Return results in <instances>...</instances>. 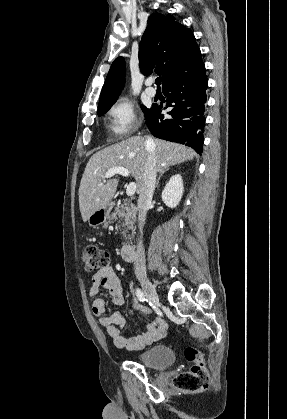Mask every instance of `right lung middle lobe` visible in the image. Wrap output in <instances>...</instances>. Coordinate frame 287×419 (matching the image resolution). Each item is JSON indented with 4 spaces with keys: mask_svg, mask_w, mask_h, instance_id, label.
I'll list each match as a JSON object with an SVG mask.
<instances>
[{
    "mask_svg": "<svg viewBox=\"0 0 287 419\" xmlns=\"http://www.w3.org/2000/svg\"><path fill=\"white\" fill-rule=\"evenodd\" d=\"M111 106H112V104H109V105H106V106H103V107L99 108L98 111H97L98 116H102L103 114H105L110 109ZM142 110H143V112L145 114V118H146L149 115V112L151 111V108L147 109L144 106H142Z\"/></svg>",
    "mask_w": 287,
    "mask_h": 419,
    "instance_id": "1",
    "label": "right lung middle lobe"
}]
</instances>
